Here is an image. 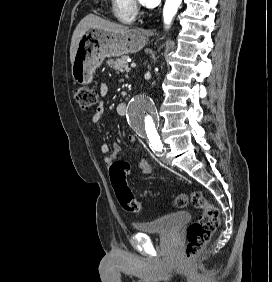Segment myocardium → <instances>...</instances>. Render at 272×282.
Returning a JSON list of instances; mask_svg holds the SVG:
<instances>
[{"mask_svg": "<svg viewBox=\"0 0 272 282\" xmlns=\"http://www.w3.org/2000/svg\"><path fill=\"white\" fill-rule=\"evenodd\" d=\"M133 1V4L131 5V7L133 9H136V6H137V0H132Z\"/></svg>", "mask_w": 272, "mask_h": 282, "instance_id": "obj_1", "label": "myocardium"}]
</instances>
